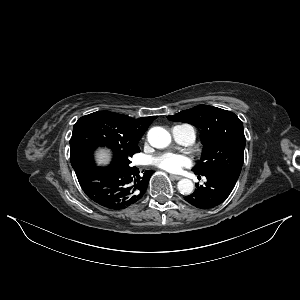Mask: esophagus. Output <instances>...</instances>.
Listing matches in <instances>:
<instances>
[{
	"label": "esophagus",
	"mask_w": 300,
	"mask_h": 300,
	"mask_svg": "<svg viewBox=\"0 0 300 300\" xmlns=\"http://www.w3.org/2000/svg\"><path fill=\"white\" fill-rule=\"evenodd\" d=\"M170 177L173 179V180H180L182 178V176H179V175H170Z\"/></svg>",
	"instance_id": "34e87169"
}]
</instances>
